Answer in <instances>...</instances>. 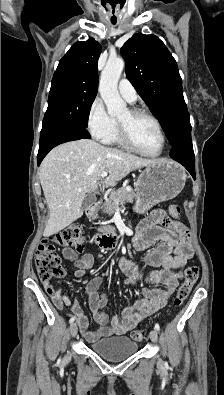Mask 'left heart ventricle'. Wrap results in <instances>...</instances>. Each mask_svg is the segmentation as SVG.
Listing matches in <instances>:
<instances>
[{
	"label": "left heart ventricle",
	"mask_w": 224,
	"mask_h": 395,
	"mask_svg": "<svg viewBox=\"0 0 224 395\" xmlns=\"http://www.w3.org/2000/svg\"><path fill=\"white\" fill-rule=\"evenodd\" d=\"M118 120L128 125L136 145L149 153H156L161 147V137L155 123L147 117H131L128 110Z\"/></svg>",
	"instance_id": "left-heart-ventricle-1"
}]
</instances>
